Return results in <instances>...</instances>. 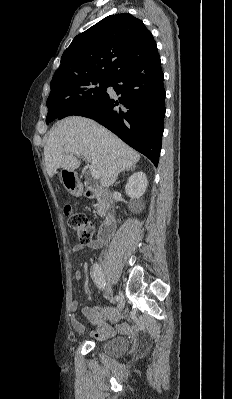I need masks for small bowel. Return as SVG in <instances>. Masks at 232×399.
<instances>
[{"mask_svg":"<svg viewBox=\"0 0 232 399\" xmlns=\"http://www.w3.org/2000/svg\"><path fill=\"white\" fill-rule=\"evenodd\" d=\"M101 247L102 244L99 242H79L76 244L75 249L77 251L86 248L97 250ZM84 267L85 260L83 258H80L78 260V278L83 277ZM79 304L80 301L76 298L70 300V319L74 330L77 333H84L86 330V326L76 316V312L79 309ZM81 312L88 320V326L91 328L90 335L101 339H105L111 336L116 331L136 332L143 327V324L141 322H114V320L119 317L120 309L118 307L84 306L81 308ZM98 316L108 317L111 321L108 323H101L96 319Z\"/></svg>","mask_w":232,"mask_h":399,"instance_id":"1","label":"small bowel"}]
</instances>
